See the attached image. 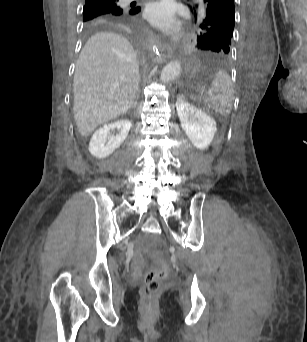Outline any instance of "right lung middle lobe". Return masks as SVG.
<instances>
[{
  "instance_id": "right-lung-middle-lobe-1",
  "label": "right lung middle lobe",
  "mask_w": 307,
  "mask_h": 342,
  "mask_svg": "<svg viewBox=\"0 0 307 342\" xmlns=\"http://www.w3.org/2000/svg\"><path fill=\"white\" fill-rule=\"evenodd\" d=\"M103 13H104L103 10H83V21L94 18Z\"/></svg>"
}]
</instances>
